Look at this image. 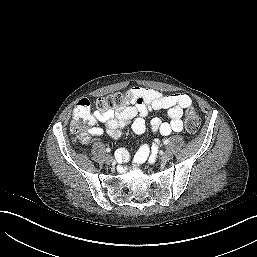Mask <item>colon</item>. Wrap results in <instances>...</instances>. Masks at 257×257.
I'll return each instance as SVG.
<instances>
[{
  "instance_id": "colon-1",
  "label": "colon",
  "mask_w": 257,
  "mask_h": 257,
  "mask_svg": "<svg viewBox=\"0 0 257 257\" xmlns=\"http://www.w3.org/2000/svg\"><path fill=\"white\" fill-rule=\"evenodd\" d=\"M132 100L131 94L116 92L96 100L95 106L100 112L113 111L123 107L128 101ZM75 115L71 122L70 129L75 135L80 134L86 125L93 122L90 111V103L87 99H81L75 106ZM201 125L199 113L194 108H189L185 115V129L188 134H196Z\"/></svg>"
}]
</instances>
